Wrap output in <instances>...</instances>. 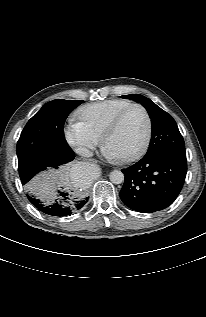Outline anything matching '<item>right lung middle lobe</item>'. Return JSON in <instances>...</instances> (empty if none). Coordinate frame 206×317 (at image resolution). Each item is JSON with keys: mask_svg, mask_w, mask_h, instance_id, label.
Returning <instances> with one entry per match:
<instances>
[{"mask_svg": "<svg viewBox=\"0 0 206 317\" xmlns=\"http://www.w3.org/2000/svg\"><path fill=\"white\" fill-rule=\"evenodd\" d=\"M83 101L56 99L46 103L26 124L17 142L19 176L27 191H38L32 179L47 167L58 168V148L68 146L63 126L68 115Z\"/></svg>", "mask_w": 206, "mask_h": 317, "instance_id": "dd1d6c3e", "label": "right lung middle lobe"}]
</instances>
